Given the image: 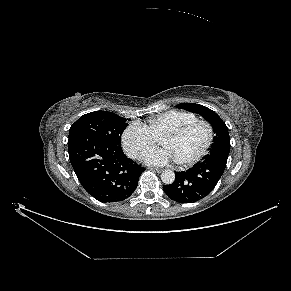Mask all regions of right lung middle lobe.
<instances>
[{
    "instance_id": "1",
    "label": "right lung middle lobe",
    "mask_w": 291,
    "mask_h": 291,
    "mask_svg": "<svg viewBox=\"0 0 291 291\" xmlns=\"http://www.w3.org/2000/svg\"><path fill=\"white\" fill-rule=\"evenodd\" d=\"M127 119L108 111H94L80 117L69 130V137L79 132L100 137L121 148L120 140Z\"/></svg>"
}]
</instances>
